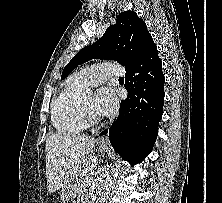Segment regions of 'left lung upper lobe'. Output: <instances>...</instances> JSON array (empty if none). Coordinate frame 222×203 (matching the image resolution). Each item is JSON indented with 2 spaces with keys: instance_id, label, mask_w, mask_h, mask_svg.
Instances as JSON below:
<instances>
[{
  "instance_id": "1",
  "label": "left lung upper lobe",
  "mask_w": 222,
  "mask_h": 203,
  "mask_svg": "<svg viewBox=\"0 0 222 203\" xmlns=\"http://www.w3.org/2000/svg\"><path fill=\"white\" fill-rule=\"evenodd\" d=\"M145 22L134 11L121 12L115 25L110 26L94 44L81 49L66 65L61 79H64L78 65L91 59L116 60L125 69L140 55L148 36Z\"/></svg>"
}]
</instances>
